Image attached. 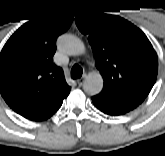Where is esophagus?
Listing matches in <instances>:
<instances>
[{"mask_svg":"<svg viewBox=\"0 0 165 156\" xmlns=\"http://www.w3.org/2000/svg\"><path fill=\"white\" fill-rule=\"evenodd\" d=\"M83 83H84V79H78L77 80V84L79 85V86H82L83 85Z\"/></svg>","mask_w":165,"mask_h":156,"instance_id":"1","label":"esophagus"}]
</instances>
